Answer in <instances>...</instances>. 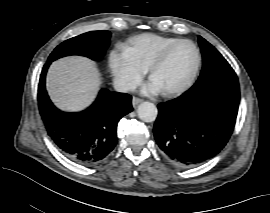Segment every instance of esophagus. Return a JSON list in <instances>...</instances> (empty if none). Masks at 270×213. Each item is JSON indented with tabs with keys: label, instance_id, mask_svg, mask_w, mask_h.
Listing matches in <instances>:
<instances>
[{
	"label": "esophagus",
	"instance_id": "obj_1",
	"mask_svg": "<svg viewBox=\"0 0 270 213\" xmlns=\"http://www.w3.org/2000/svg\"><path fill=\"white\" fill-rule=\"evenodd\" d=\"M141 102H143V99L141 98H138V97L132 98V104L134 107H137Z\"/></svg>",
	"mask_w": 270,
	"mask_h": 213
}]
</instances>
